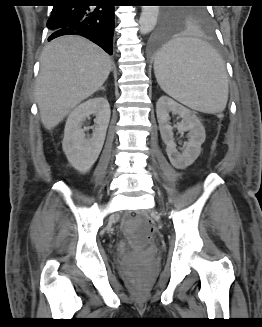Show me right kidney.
Instances as JSON below:
<instances>
[{
    "mask_svg": "<svg viewBox=\"0 0 262 327\" xmlns=\"http://www.w3.org/2000/svg\"><path fill=\"white\" fill-rule=\"evenodd\" d=\"M110 106L106 98L95 97L77 106L68 116L62 142L63 151L70 164L79 172H88L97 160L104 144L110 120ZM90 115H95L92 137L82 128Z\"/></svg>",
    "mask_w": 262,
    "mask_h": 327,
    "instance_id": "obj_1",
    "label": "right kidney"
}]
</instances>
